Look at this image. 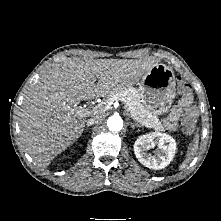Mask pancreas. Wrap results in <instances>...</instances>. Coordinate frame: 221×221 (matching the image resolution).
<instances>
[{"instance_id": "cf45deb5", "label": "pancreas", "mask_w": 221, "mask_h": 221, "mask_svg": "<svg viewBox=\"0 0 221 221\" xmlns=\"http://www.w3.org/2000/svg\"><path fill=\"white\" fill-rule=\"evenodd\" d=\"M115 100L123 102L125 110L141 125L152 128L156 131H165L158 117L149 112L141 103L139 93L136 89L128 88L113 93L101 105H110Z\"/></svg>"}]
</instances>
